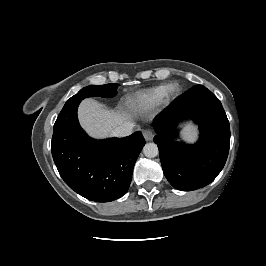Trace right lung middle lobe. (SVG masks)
Here are the masks:
<instances>
[{"mask_svg": "<svg viewBox=\"0 0 266 266\" xmlns=\"http://www.w3.org/2000/svg\"><path fill=\"white\" fill-rule=\"evenodd\" d=\"M117 83L105 85H91L81 89L77 94L67 100L62 110L70 105L81 102L86 97H114L117 94Z\"/></svg>", "mask_w": 266, "mask_h": 266, "instance_id": "1", "label": "right lung middle lobe"}]
</instances>
